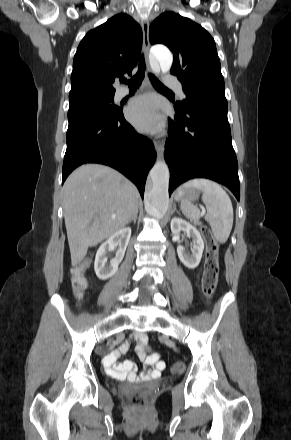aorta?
<instances>
[{
	"label": "aorta",
	"instance_id": "762f6f07",
	"mask_svg": "<svg viewBox=\"0 0 291 440\" xmlns=\"http://www.w3.org/2000/svg\"><path fill=\"white\" fill-rule=\"evenodd\" d=\"M152 54L159 63L161 71L166 73L173 63L172 53L164 46H154ZM169 168L165 161H157L149 174V181L145 192V210L148 214L162 218L169 204Z\"/></svg>",
	"mask_w": 291,
	"mask_h": 440
}]
</instances>
